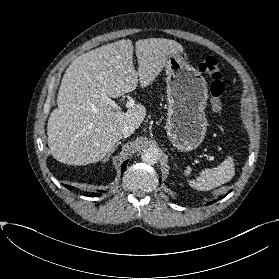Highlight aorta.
Wrapping results in <instances>:
<instances>
[{"instance_id":"aorta-1","label":"aorta","mask_w":279,"mask_h":279,"mask_svg":"<svg viewBox=\"0 0 279 279\" xmlns=\"http://www.w3.org/2000/svg\"><path fill=\"white\" fill-rule=\"evenodd\" d=\"M141 157L145 163L153 165L159 161V151L156 148L149 147L143 150Z\"/></svg>"}]
</instances>
